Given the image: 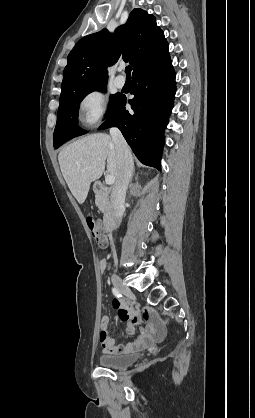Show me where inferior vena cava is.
Instances as JSON below:
<instances>
[{"label":"inferior vena cava","instance_id":"602c4592","mask_svg":"<svg viewBox=\"0 0 255 418\" xmlns=\"http://www.w3.org/2000/svg\"><path fill=\"white\" fill-rule=\"evenodd\" d=\"M110 135L115 144L118 155V172L112 192L113 218L116 223L121 222L126 191L133 173V158L131 150L118 128H111Z\"/></svg>","mask_w":255,"mask_h":418}]
</instances>
